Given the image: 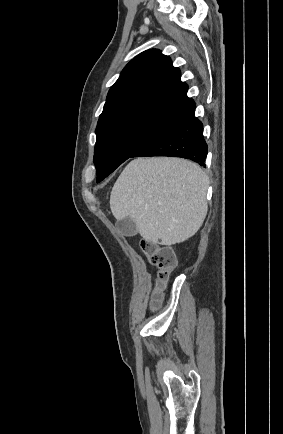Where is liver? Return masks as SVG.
Here are the masks:
<instances>
[{"mask_svg":"<svg viewBox=\"0 0 283 434\" xmlns=\"http://www.w3.org/2000/svg\"><path fill=\"white\" fill-rule=\"evenodd\" d=\"M208 185L205 172L189 160L137 158L114 184L110 209L118 221L132 219L146 241L171 246L188 240L202 226Z\"/></svg>","mask_w":283,"mask_h":434,"instance_id":"liver-1","label":"liver"}]
</instances>
